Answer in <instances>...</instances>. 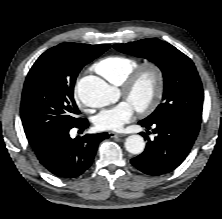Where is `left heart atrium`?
Segmentation results:
<instances>
[{
    "label": "left heart atrium",
    "mask_w": 222,
    "mask_h": 219,
    "mask_svg": "<svg viewBox=\"0 0 222 219\" xmlns=\"http://www.w3.org/2000/svg\"><path fill=\"white\" fill-rule=\"evenodd\" d=\"M133 114V105L124 101L112 108L102 110L94 118V125L99 130L120 131L133 118Z\"/></svg>",
    "instance_id": "39dd6f15"
}]
</instances>
